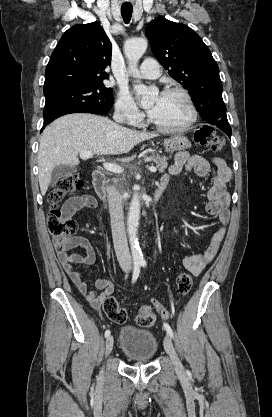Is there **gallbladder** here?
<instances>
[{"instance_id":"1","label":"gallbladder","mask_w":272,"mask_h":417,"mask_svg":"<svg viewBox=\"0 0 272 417\" xmlns=\"http://www.w3.org/2000/svg\"><path fill=\"white\" fill-rule=\"evenodd\" d=\"M76 171L77 169L71 165H57L52 171L50 185L54 186L60 178L72 175Z\"/></svg>"}]
</instances>
